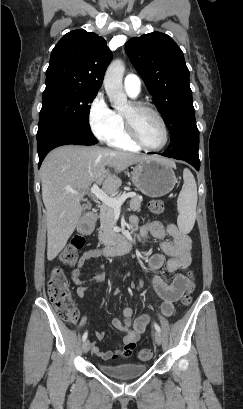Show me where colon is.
<instances>
[{
  "label": "colon",
  "instance_id": "colon-1",
  "mask_svg": "<svg viewBox=\"0 0 243 409\" xmlns=\"http://www.w3.org/2000/svg\"><path fill=\"white\" fill-rule=\"evenodd\" d=\"M149 208L152 213L160 214L164 210V204L161 200H151ZM85 238L80 235L74 236L69 245H67L59 255V259L67 266H72L77 260V254L85 246ZM48 295L60 319L69 323H76L79 318L69 291L68 281L63 270L59 267H53L48 273ZM194 289L193 274L188 275L187 292L181 298V304L185 307L192 302L191 292ZM138 356L141 360H149L152 353L149 349H142Z\"/></svg>",
  "mask_w": 243,
  "mask_h": 409
}]
</instances>
